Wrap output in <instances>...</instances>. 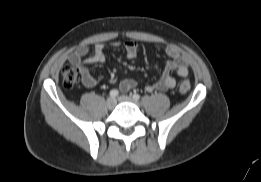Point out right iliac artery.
Returning a JSON list of instances; mask_svg holds the SVG:
<instances>
[{
  "mask_svg": "<svg viewBox=\"0 0 261 182\" xmlns=\"http://www.w3.org/2000/svg\"><path fill=\"white\" fill-rule=\"evenodd\" d=\"M111 98H115L119 95V91L117 89H112L109 93Z\"/></svg>",
  "mask_w": 261,
  "mask_h": 182,
  "instance_id": "1",
  "label": "right iliac artery"
}]
</instances>
